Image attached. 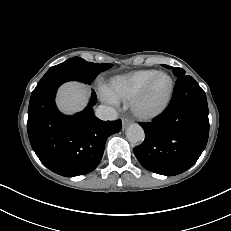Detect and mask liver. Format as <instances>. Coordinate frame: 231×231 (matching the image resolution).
Masks as SVG:
<instances>
[{
    "instance_id": "6515ba94",
    "label": "liver",
    "mask_w": 231,
    "mask_h": 231,
    "mask_svg": "<svg viewBox=\"0 0 231 231\" xmlns=\"http://www.w3.org/2000/svg\"><path fill=\"white\" fill-rule=\"evenodd\" d=\"M87 93L85 86L78 82H70L63 85L57 96L59 109L67 114L82 110L86 105Z\"/></svg>"
}]
</instances>
